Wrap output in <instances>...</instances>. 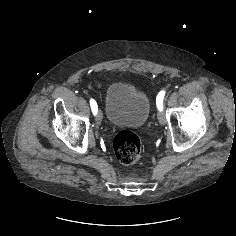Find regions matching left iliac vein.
Listing matches in <instances>:
<instances>
[{
    "mask_svg": "<svg viewBox=\"0 0 236 236\" xmlns=\"http://www.w3.org/2000/svg\"><path fill=\"white\" fill-rule=\"evenodd\" d=\"M158 120H159L160 124H162V125H164L166 123V118L161 111L158 112Z\"/></svg>",
    "mask_w": 236,
    "mask_h": 236,
    "instance_id": "4c4485c4",
    "label": "left iliac vein"
}]
</instances>
